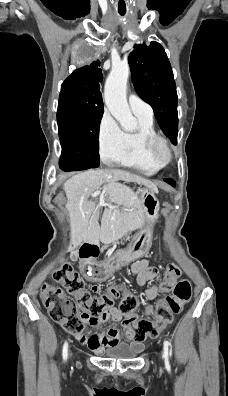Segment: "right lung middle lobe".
I'll list each match as a JSON object with an SVG mask.
<instances>
[{"label":"right lung middle lobe","mask_w":228,"mask_h":396,"mask_svg":"<svg viewBox=\"0 0 228 396\" xmlns=\"http://www.w3.org/2000/svg\"><path fill=\"white\" fill-rule=\"evenodd\" d=\"M103 111L104 108H88L74 97L60 94L57 122L62 170L80 171L99 166L98 137Z\"/></svg>","instance_id":"1"}]
</instances>
